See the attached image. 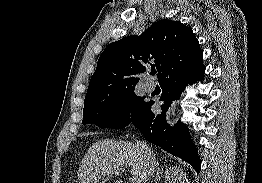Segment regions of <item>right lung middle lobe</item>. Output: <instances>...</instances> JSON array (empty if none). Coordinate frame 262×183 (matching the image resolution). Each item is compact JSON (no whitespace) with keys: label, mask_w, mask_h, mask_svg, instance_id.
Listing matches in <instances>:
<instances>
[{"label":"right lung middle lobe","mask_w":262,"mask_h":183,"mask_svg":"<svg viewBox=\"0 0 262 183\" xmlns=\"http://www.w3.org/2000/svg\"><path fill=\"white\" fill-rule=\"evenodd\" d=\"M148 103V102H147ZM134 89L84 104L83 124L100 128H123L133 121L147 105Z\"/></svg>","instance_id":"obj_1"}]
</instances>
